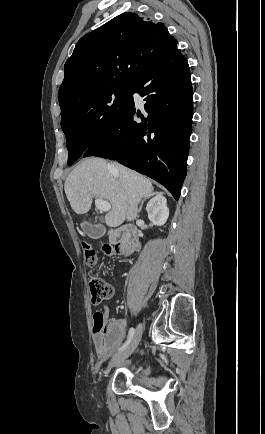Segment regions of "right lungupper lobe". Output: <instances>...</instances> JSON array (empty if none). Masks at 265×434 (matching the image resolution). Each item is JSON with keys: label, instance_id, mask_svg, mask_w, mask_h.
Listing matches in <instances>:
<instances>
[{"label": "right lung upper lobe", "instance_id": "cb5924a9", "mask_svg": "<svg viewBox=\"0 0 265 434\" xmlns=\"http://www.w3.org/2000/svg\"><path fill=\"white\" fill-rule=\"evenodd\" d=\"M177 45L161 22L136 13L120 14L83 36L64 66L58 97L104 80H134Z\"/></svg>", "mask_w": 265, "mask_h": 434}]
</instances>
